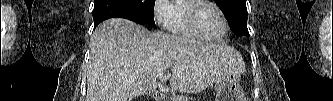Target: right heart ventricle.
<instances>
[{"instance_id": "obj_1", "label": "right heart ventricle", "mask_w": 333, "mask_h": 101, "mask_svg": "<svg viewBox=\"0 0 333 101\" xmlns=\"http://www.w3.org/2000/svg\"><path fill=\"white\" fill-rule=\"evenodd\" d=\"M188 2V0H178L174 2L168 28L177 36L194 39L197 38V36L189 29L185 18V8Z\"/></svg>"}]
</instances>
